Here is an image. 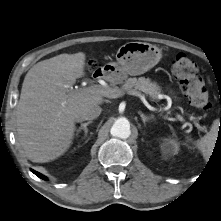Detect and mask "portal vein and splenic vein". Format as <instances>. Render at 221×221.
<instances>
[{
  "label": "portal vein and splenic vein",
  "instance_id": "obj_1",
  "mask_svg": "<svg viewBox=\"0 0 221 221\" xmlns=\"http://www.w3.org/2000/svg\"><path fill=\"white\" fill-rule=\"evenodd\" d=\"M83 90L86 93L100 94V95L108 97V98H118V97L123 96L125 94L124 92H117L116 90H114L110 87L101 86V85H91L89 87L83 88ZM127 94L137 96L142 101H145V96L138 91L131 90V91H128ZM177 117H178V119H182V117L180 115H178ZM190 120L193 121L197 127H199V124L195 121V118L193 116H190Z\"/></svg>",
  "mask_w": 221,
  "mask_h": 221
}]
</instances>
